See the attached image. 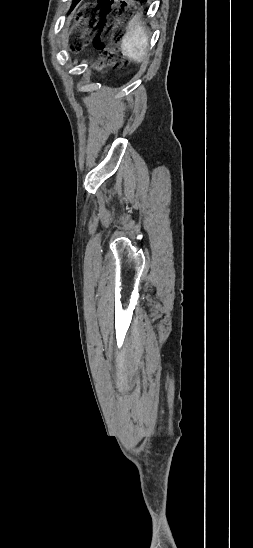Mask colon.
Listing matches in <instances>:
<instances>
[{"label":"colon","instance_id":"1","mask_svg":"<svg viewBox=\"0 0 253 548\" xmlns=\"http://www.w3.org/2000/svg\"><path fill=\"white\" fill-rule=\"evenodd\" d=\"M131 14L126 0H98L96 6L85 7L76 21L72 47L83 49L88 37L93 36V44L100 51L96 67L100 70L118 68L128 64L120 50L122 23Z\"/></svg>","mask_w":253,"mask_h":548}]
</instances>
